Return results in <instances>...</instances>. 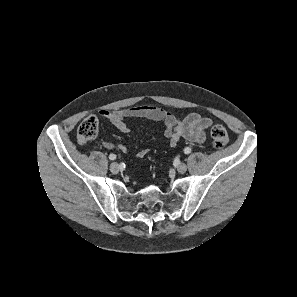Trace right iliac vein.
I'll list each match as a JSON object with an SVG mask.
<instances>
[{
    "instance_id": "right-iliac-vein-1",
    "label": "right iliac vein",
    "mask_w": 297,
    "mask_h": 297,
    "mask_svg": "<svg viewBox=\"0 0 297 297\" xmlns=\"http://www.w3.org/2000/svg\"><path fill=\"white\" fill-rule=\"evenodd\" d=\"M110 171L114 174H117L120 171V166L118 163L114 162L110 165Z\"/></svg>"
}]
</instances>
